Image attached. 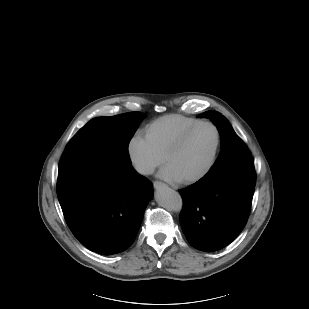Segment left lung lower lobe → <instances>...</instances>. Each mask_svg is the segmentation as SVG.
<instances>
[{
    "instance_id": "1",
    "label": "left lung lower lobe",
    "mask_w": 309,
    "mask_h": 309,
    "mask_svg": "<svg viewBox=\"0 0 309 309\" xmlns=\"http://www.w3.org/2000/svg\"><path fill=\"white\" fill-rule=\"evenodd\" d=\"M255 178L251 157L179 190L184 203L181 227L194 248L214 252L239 235L249 217Z\"/></svg>"
}]
</instances>
